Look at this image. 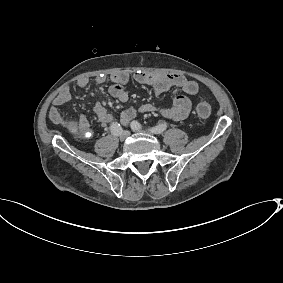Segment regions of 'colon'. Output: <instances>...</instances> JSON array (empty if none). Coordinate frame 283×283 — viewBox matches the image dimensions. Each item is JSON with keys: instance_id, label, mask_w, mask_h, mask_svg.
I'll use <instances>...</instances> for the list:
<instances>
[{"instance_id": "1", "label": "colon", "mask_w": 283, "mask_h": 283, "mask_svg": "<svg viewBox=\"0 0 283 283\" xmlns=\"http://www.w3.org/2000/svg\"><path fill=\"white\" fill-rule=\"evenodd\" d=\"M196 113L200 118H207L211 114V105L207 100L201 101L196 108ZM74 130L79 131L78 128ZM88 134V133H87Z\"/></svg>"}]
</instances>
